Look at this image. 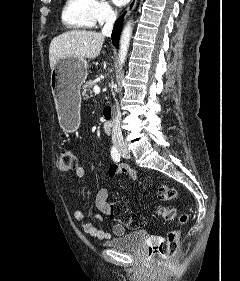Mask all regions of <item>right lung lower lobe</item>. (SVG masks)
<instances>
[{
  "label": "right lung lower lobe",
  "instance_id": "98d812e1",
  "mask_svg": "<svg viewBox=\"0 0 240 281\" xmlns=\"http://www.w3.org/2000/svg\"><path fill=\"white\" fill-rule=\"evenodd\" d=\"M123 15L116 21V23L114 25L113 32H112V44L116 48H119L118 42H119V37H120V33H121V27H122V24H123Z\"/></svg>",
  "mask_w": 240,
  "mask_h": 281
}]
</instances>
